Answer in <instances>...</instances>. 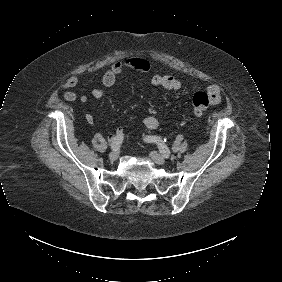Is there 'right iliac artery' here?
Masks as SVG:
<instances>
[{"instance_id": "1", "label": "right iliac artery", "mask_w": 282, "mask_h": 282, "mask_svg": "<svg viewBox=\"0 0 282 282\" xmlns=\"http://www.w3.org/2000/svg\"><path fill=\"white\" fill-rule=\"evenodd\" d=\"M123 139H124V135L121 134V135H117V136H114L113 138H111L110 140V146H111V149L112 150H118L123 142Z\"/></svg>"}]
</instances>
